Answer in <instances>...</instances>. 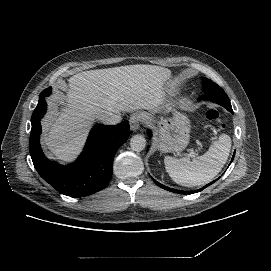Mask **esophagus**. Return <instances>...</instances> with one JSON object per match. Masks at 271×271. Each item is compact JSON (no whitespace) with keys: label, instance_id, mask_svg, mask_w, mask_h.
<instances>
[{"label":"esophagus","instance_id":"34e87169","mask_svg":"<svg viewBox=\"0 0 271 271\" xmlns=\"http://www.w3.org/2000/svg\"><path fill=\"white\" fill-rule=\"evenodd\" d=\"M141 119V115L138 113H133L130 116L129 122L132 131L136 132L140 128Z\"/></svg>","mask_w":271,"mask_h":271}]
</instances>
